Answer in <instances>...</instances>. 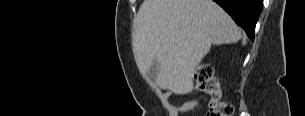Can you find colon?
I'll return each mask as SVG.
<instances>
[{
    "label": "colon",
    "instance_id": "colon-1",
    "mask_svg": "<svg viewBox=\"0 0 305 116\" xmlns=\"http://www.w3.org/2000/svg\"><path fill=\"white\" fill-rule=\"evenodd\" d=\"M194 78L200 89L211 97L206 116H231L233 114L232 105L222 100L219 83L213 76L210 66L200 65L195 70Z\"/></svg>",
    "mask_w": 305,
    "mask_h": 116
}]
</instances>
